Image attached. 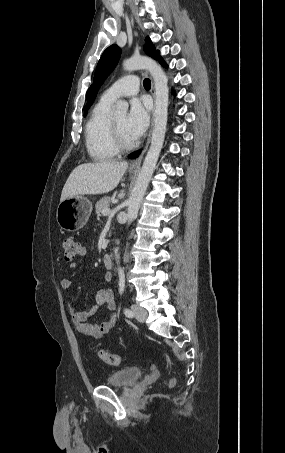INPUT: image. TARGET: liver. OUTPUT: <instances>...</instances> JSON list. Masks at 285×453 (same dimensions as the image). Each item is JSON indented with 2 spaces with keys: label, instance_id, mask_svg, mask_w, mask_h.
I'll return each mask as SVG.
<instances>
[{
  "label": "liver",
  "instance_id": "1",
  "mask_svg": "<svg viewBox=\"0 0 285 453\" xmlns=\"http://www.w3.org/2000/svg\"><path fill=\"white\" fill-rule=\"evenodd\" d=\"M128 168L126 161H100L77 166L68 177L60 201L81 195L104 194L119 184Z\"/></svg>",
  "mask_w": 285,
  "mask_h": 453
}]
</instances>
